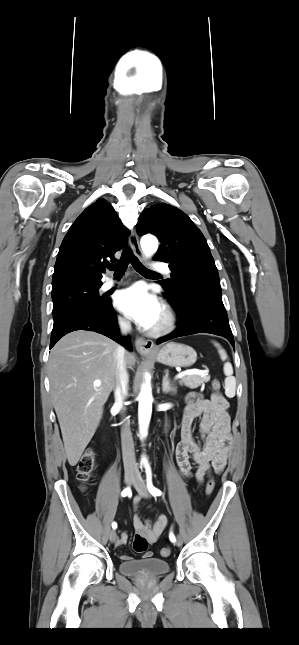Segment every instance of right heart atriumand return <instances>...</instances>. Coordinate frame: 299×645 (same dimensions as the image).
Returning <instances> with one entry per match:
<instances>
[{
	"label": "right heart atrium",
	"mask_w": 299,
	"mask_h": 645,
	"mask_svg": "<svg viewBox=\"0 0 299 645\" xmlns=\"http://www.w3.org/2000/svg\"><path fill=\"white\" fill-rule=\"evenodd\" d=\"M117 323L120 327H123V328H126L129 326L128 320L121 315L117 316Z\"/></svg>",
	"instance_id": "right-heart-atrium-1"
}]
</instances>
